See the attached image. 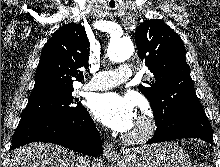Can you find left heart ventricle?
Returning a JSON list of instances; mask_svg holds the SVG:
<instances>
[{
    "label": "left heart ventricle",
    "instance_id": "left-heart-ventricle-1",
    "mask_svg": "<svg viewBox=\"0 0 220 167\" xmlns=\"http://www.w3.org/2000/svg\"><path fill=\"white\" fill-rule=\"evenodd\" d=\"M139 127H140V123H139V120L137 119V120H136V122H135V124H134V126H133V128L130 130V132H129V133H131V132H134V131L138 130V129H139Z\"/></svg>",
    "mask_w": 220,
    "mask_h": 167
}]
</instances>
